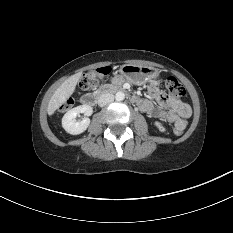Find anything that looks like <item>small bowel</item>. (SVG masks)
<instances>
[{
	"instance_id": "1",
	"label": "small bowel",
	"mask_w": 233,
	"mask_h": 233,
	"mask_svg": "<svg viewBox=\"0 0 233 233\" xmlns=\"http://www.w3.org/2000/svg\"><path fill=\"white\" fill-rule=\"evenodd\" d=\"M112 82L116 85H121L124 82V77L121 74H116L112 77ZM146 86L150 89V96L157 104L155 105L150 100L139 98L138 107L150 117L173 123L174 126L184 130L187 125V119L191 115L190 106L179 99L168 97L159 90L155 79L148 80Z\"/></svg>"
}]
</instances>
